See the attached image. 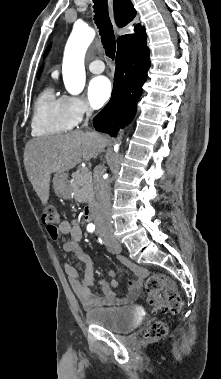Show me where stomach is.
<instances>
[{"mask_svg": "<svg viewBox=\"0 0 221 379\" xmlns=\"http://www.w3.org/2000/svg\"><path fill=\"white\" fill-rule=\"evenodd\" d=\"M53 188L55 193L60 197L68 198L70 196L68 178L65 172H58L54 175Z\"/></svg>", "mask_w": 221, "mask_h": 379, "instance_id": "obj_1", "label": "stomach"}]
</instances>
